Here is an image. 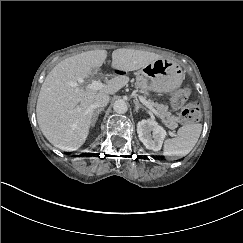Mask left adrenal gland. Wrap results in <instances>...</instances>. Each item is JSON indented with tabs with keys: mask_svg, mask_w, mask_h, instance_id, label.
<instances>
[{
	"mask_svg": "<svg viewBox=\"0 0 243 243\" xmlns=\"http://www.w3.org/2000/svg\"><path fill=\"white\" fill-rule=\"evenodd\" d=\"M134 104H135V111L136 112H138L139 108L146 110V108L143 105H141L137 100H134Z\"/></svg>",
	"mask_w": 243,
	"mask_h": 243,
	"instance_id": "a2214340",
	"label": "left adrenal gland"
}]
</instances>
